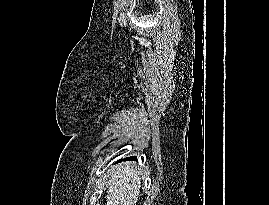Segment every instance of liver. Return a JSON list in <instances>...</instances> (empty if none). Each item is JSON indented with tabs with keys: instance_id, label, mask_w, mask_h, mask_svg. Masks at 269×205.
<instances>
[{
	"instance_id": "1",
	"label": "liver",
	"mask_w": 269,
	"mask_h": 205,
	"mask_svg": "<svg viewBox=\"0 0 269 205\" xmlns=\"http://www.w3.org/2000/svg\"><path fill=\"white\" fill-rule=\"evenodd\" d=\"M106 205H136L141 181L134 163H126L111 174Z\"/></svg>"
}]
</instances>
